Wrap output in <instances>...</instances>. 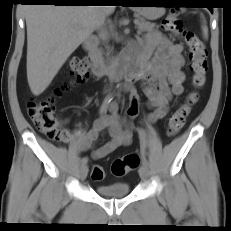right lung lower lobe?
Instances as JSON below:
<instances>
[{
	"label": "right lung lower lobe",
	"instance_id": "1",
	"mask_svg": "<svg viewBox=\"0 0 231 231\" xmlns=\"http://www.w3.org/2000/svg\"><path fill=\"white\" fill-rule=\"evenodd\" d=\"M28 3H50L54 5H85L83 0H24Z\"/></svg>",
	"mask_w": 231,
	"mask_h": 231
}]
</instances>
